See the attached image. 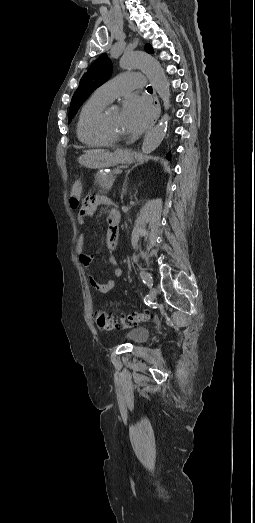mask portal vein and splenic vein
I'll use <instances>...</instances> for the list:
<instances>
[{"instance_id":"18ae733b","label":"portal vein and splenic vein","mask_w":255,"mask_h":523,"mask_svg":"<svg viewBox=\"0 0 255 523\" xmlns=\"http://www.w3.org/2000/svg\"><path fill=\"white\" fill-rule=\"evenodd\" d=\"M124 175V170H117V172L114 173V176H120Z\"/></svg>"}]
</instances>
